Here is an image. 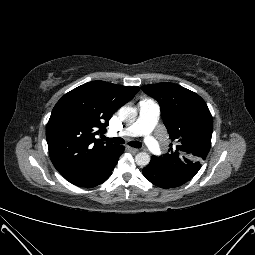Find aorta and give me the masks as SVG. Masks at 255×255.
Here are the masks:
<instances>
[{
  "label": "aorta",
  "instance_id": "762f6f07",
  "mask_svg": "<svg viewBox=\"0 0 255 255\" xmlns=\"http://www.w3.org/2000/svg\"><path fill=\"white\" fill-rule=\"evenodd\" d=\"M121 117L126 122H134L137 118V110L133 107H124L121 109ZM150 155L146 152H139L135 156V162L141 167H145L150 162Z\"/></svg>",
  "mask_w": 255,
  "mask_h": 255
}]
</instances>
